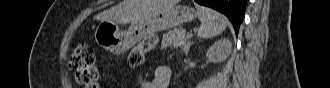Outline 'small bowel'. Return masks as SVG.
<instances>
[{
	"instance_id": "1",
	"label": "small bowel",
	"mask_w": 330,
	"mask_h": 88,
	"mask_svg": "<svg viewBox=\"0 0 330 88\" xmlns=\"http://www.w3.org/2000/svg\"><path fill=\"white\" fill-rule=\"evenodd\" d=\"M171 78V71L166 66H158L152 80L147 81L139 78L138 82L141 88H167Z\"/></svg>"
}]
</instances>
